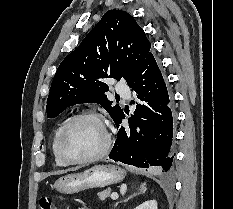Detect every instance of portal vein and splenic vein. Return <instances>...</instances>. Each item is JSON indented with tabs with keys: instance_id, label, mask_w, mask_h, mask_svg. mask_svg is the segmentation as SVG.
Listing matches in <instances>:
<instances>
[{
	"instance_id": "1",
	"label": "portal vein and splenic vein",
	"mask_w": 233,
	"mask_h": 209,
	"mask_svg": "<svg viewBox=\"0 0 233 209\" xmlns=\"http://www.w3.org/2000/svg\"><path fill=\"white\" fill-rule=\"evenodd\" d=\"M111 198H112L113 200H116V199L118 198V194H117V193H112V194H111Z\"/></svg>"
}]
</instances>
